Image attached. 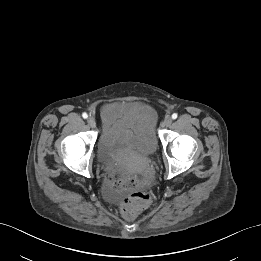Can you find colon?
<instances>
[{"instance_id": "obj_1", "label": "colon", "mask_w": 261, "mask_h": 261, "mask_svg": "<svg viewBox=\"0 0 261 261\" xmlns=\"http://www.w3.org/2000/svg\"><path fill=\"white\" fill-rule=\"evenodd\" d=\"M106 182L115 193L129 192L120 205V211L124 217L133 218L150 204V195L142 190L143 181L135 177H118L113 173H108Z\"/></svg>"}]
</instances>
